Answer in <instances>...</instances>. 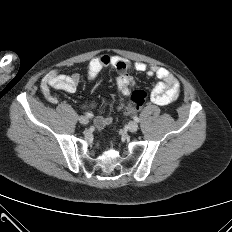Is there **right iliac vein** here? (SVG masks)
<instances>
[{"instance_id": "right-iliac-vein-1", "label": "right iliac vein", "mask_w": 232, "mask_h": 232, "mask_svg": "<svg viewBox=\"0 0 232 232\" xmlns=\"http://www.w3.org/2000/svg\"><path fill=\"white\" fill-rule=\"evenodd\" d=\"M78 120H79V122L81 123V124H83V125H86V124H88V119H87V117H85V116H80L79 118H78Z\"/></svg>"}]
</instances>
